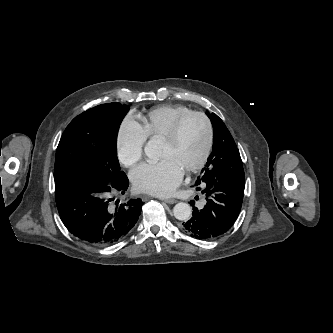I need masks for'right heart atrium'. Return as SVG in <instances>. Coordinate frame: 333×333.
I'll return each mask as SVG.
<instances>
[{
    "label": "right heart atrium",
    "mask_w": 333,
    "mask_h": 333,
    "mask_svg": "<svg viewBox=\"0 0 333 333\" xmlns=\"http://www.w3.org/2000/svg\"><path fill=\"white\" fill-rule=\"evenodd\" d=\"M147 139L142 125L132 115H127L121 122L115 139L119 161L126 167L135 165L143 155Z\"/></svg>",
    "instance_id": "d8ad5b80"
}]
</instances>
